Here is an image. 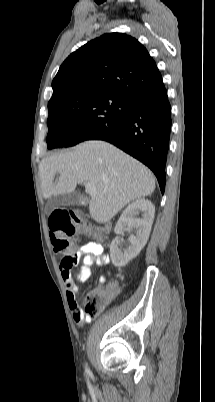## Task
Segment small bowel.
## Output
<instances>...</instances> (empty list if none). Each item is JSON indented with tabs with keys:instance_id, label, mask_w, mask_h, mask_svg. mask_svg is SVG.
<instances>
[{
	"instance_id": "small-bowel-1",
	"label": "small bowel",
	"mask_w": 215,
	"mask_h": 402,
	"mask_svg": "<svg viewBox=\"0 0 215 402\" xmlns=\"http://www.w3.org/2000/svg\"><path fill=\"white\" fill-rule=\"evenodd\" d=\"M73 258H75L77 262H83V266L76 274H73L70 269L62 266L61 264L60 270L66 286L67 299L73 318L77 324L83 325L85 322H90L92 320V316L85 315L77 304L76 296L78 292V283L86 281L96 267L107 265L109 258L104 253L103 246L96 242H87L82 245L80 250H76V255ZM105 282L106 277L100 276L99 283L104 284ZM115 288L116 284L111 283L107 289L112 291Z\"/></svg>"
}]
</instances>
